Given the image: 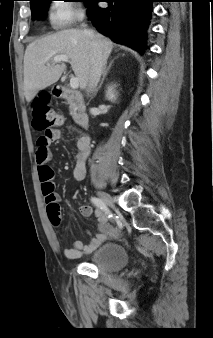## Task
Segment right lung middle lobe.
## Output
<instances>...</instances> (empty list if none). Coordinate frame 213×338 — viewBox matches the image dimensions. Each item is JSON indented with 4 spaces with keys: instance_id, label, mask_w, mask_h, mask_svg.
Here are the masks:
<instances>
[{
    "instance_id": "obj_1",
    "label": "right lung middle lobe",
    "mask_w": 213,
    "mask_h": 338,
    "mask_svg": "<svg viewBox=\"0 0 213 338\" xmlns=\"http://www.w3.org/2000/svg\"><path fill=\"white\" fill-rule=\"evenodd\" d=\"M53 0H30L31 12L34 19H44L49 7V3ZM84 2L86 7L90 6L93 0H79Z\"/></svg>"
}]
</instances>
